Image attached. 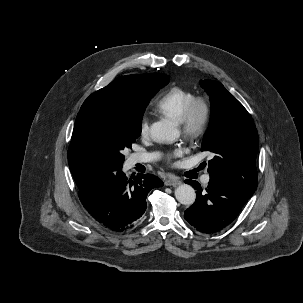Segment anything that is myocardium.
Masks as SVG:
<instances>
[{"instance_id":"obj_1","label":"myocardium","mask_w":303,"mask_h":303,"mask_svg":"<svg viewBox=\"0 0 303 303\" xmlns=\"http://www.w3.org/2000/svg\"><path fill=\"white\" fill-rule=\"evenodd\" d=\"M211 111V105L206 98L195 97L178 120L183 134L192 140L199 139L208 127Z\"/></svg>"}]
</instances>
